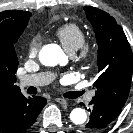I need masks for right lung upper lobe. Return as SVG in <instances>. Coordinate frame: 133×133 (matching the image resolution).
<instances>
[{
    "label": "right lung upper lobe",
    "mask_w": 133,
    "mask_h": 133,
    "mask_svg": "<svg viewBox=\"0 0 133 133\" xmlns=\"http://www.w3.org/2000/svg\"><path fill=\"white\" fill-rule=\"evenodd\" d=\"M30 16L31 13L27 11L9 10L1 12L0 35L5 36L24 29ZM15 81L16 76L15 80H7L0 77V107L9 97L21 91L18 86L14 85Z\"/></svg>",
    "instance_id": "cb5924a9"
}]
</instances>
